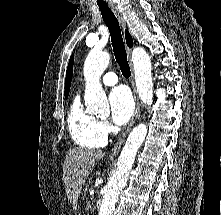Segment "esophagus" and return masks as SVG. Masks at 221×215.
<instances>
[{
	"instance_id": "esophagus-1",
	"label": "esophagus",
	"mask_w": 221,
	"mask_h": 215,
	"mask_svg": "<svg viewBox=\"0 0 221 215\" xmlns=\"http://www.w3.org/2000/svg\"><path fill=\"white\" fill-rule=\"evenodd\" d=\"M111 7H112V10H113L114 14L116 15L120 25H121V27L124 30L126 28V22H125V19H124L122 13L116 7H114V6H111ZM128 57H129V64H130V68H131V85H132V91H133V96H134V100H135V110H134V113L131 117L129 125L127 126L125 131L118 137L116 143L114 144V146L110 152V156H116L119 153L128 133L130 132L133 125L135 124V122L137 121V119L140 116V102H139V98H138V94H137V90H136V86H135V82H134V70H133L131 59H130L129 51H128Z\"/></svg>"
}]
</instances>
